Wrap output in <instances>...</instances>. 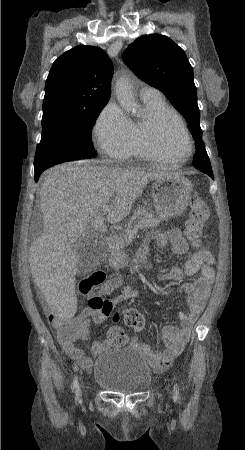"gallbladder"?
Segmentation results:
<instances>
[{
    "instance_id": "obj_1",
    "label": "gallbladder",
    "mask_w": 245,
    "mask_h": 450,
    "mask_svg": "<svg viewBox=\"0 0 245 450\" xmlns=\"http://www.w3.org/2000/svg\"><path fill=\"white\" fill-rule=\"evenodd\" d=\"M72 248L78 255L79 271L100 265L106 257V246L90 233L79 237Z\"/></svg>"
}]
</instances>
